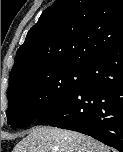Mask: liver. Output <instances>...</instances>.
<instances>
[{"instance_id":"1","label":"liver","mask_w":123,"mask_h":152,"mask_svg":"<svg viewBox=\"0 0 123 152\" xmlns=\"http://www.w3.org/2000/svg\"><path fill=\"white\" fill-rule=\"evenodd\" d=\"M13 152H110V149L87 135L43 126L29 131Z\"/></svg>"}]
</instances>
